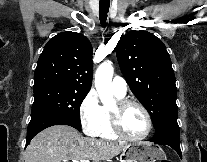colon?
<instances>
[{"label":"colon","mask_w":207,"mask_h":162,"mask_svg":"<svg viewBox=\"0 0 207 162\" xmlns=\"http://www.w3.org/2000/svg\"><path fill=\"white\" fill-rule=\"evenodd\" d=\"M160 162H170V161H168V160H162V161H160Z\"/></svg>","instance_id":"5ec220e1"}]
</instances>
